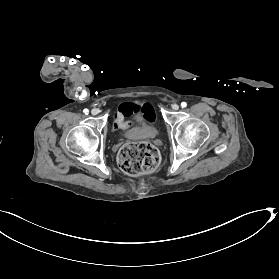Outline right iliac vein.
Here are the masks:
<instances>
[{
	"instance_id": "63e3f726",
	"label": "right iliac vein",
	"mask_w": 279,
	"mask_h": 279,
	"mask_svg": "<svg viewBox=\"0 0 279 279\" xmlns=\"http://www.w3.org/2000/svg\"><path fill=\"white\" fill-rule=\"evenodd\" d=\"M99 113V110L97 109V108H93L92 110H91V114L92 115H97Z\"/></svg>"
}]
</instances>
